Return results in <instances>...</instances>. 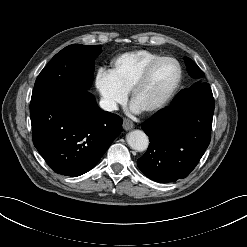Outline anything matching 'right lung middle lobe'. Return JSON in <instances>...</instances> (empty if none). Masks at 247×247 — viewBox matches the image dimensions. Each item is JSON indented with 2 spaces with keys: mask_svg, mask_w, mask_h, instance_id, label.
Here are the masks:
<instances>
[{
  "mask_svg": "<svg viewBox=\"0 0 247 247\" xmlns=\"http://www.w3.org/2000/svg\"><path fill=\"white\" fill-rule=\"evenodd\" d=\"M101 51V45L73 44L62 49L37 77L31 99L51 90L71 95L87 91L93 80L94 60Z\"/></svg>",
  "mask_w": 247,
  "mask_h": 247,
  "instance_id": "1",
  "label": "right lung middle lobe"
}]
</instances>
